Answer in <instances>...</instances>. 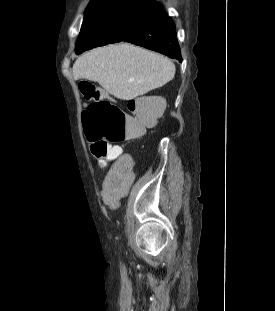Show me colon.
<instances>
[{"label": "colon", "instance_id": "5ec220e1", "mask_svg": "<svg viewBox=\"0 0 275 311\" xmlns=\"http://www.w3.org/2000/svg\"><path fill=\"white\" fill-rule=\"evenodd\" d=\"M80 91L92 100L82 113V121L91 152L96 159H113L119 154V144L143 134L159 118V111L148 100L131 101L133 116L101 97L100 90L89 82L80 84Z\"/></svg>", "mask_w": 275, "mask_h": 311}]
</instances>
